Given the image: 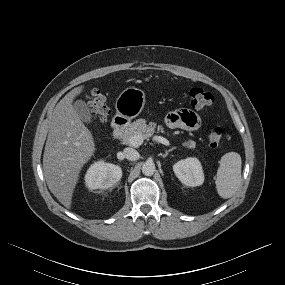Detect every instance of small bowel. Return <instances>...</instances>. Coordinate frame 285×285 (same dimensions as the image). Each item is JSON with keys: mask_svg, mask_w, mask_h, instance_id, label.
I'll return each mask as SVG.
<instances>
[{"mask_svg": "<svg viewBox=\"0 0 285 285\" xmlns=\"http://www.w3.org/2000/svg\"><path fill=\"white\" fill-rule=\"evenodd\" d=\"M165 123L172 128H180L188 131H195L201 125L199 115L187 109H178L170 112L166 118Z\"/></svg>", "mask_w": 285, "mask_h": 285, "instance_id": "c3829d8e", "label": "small bowel"}]
</instances>
